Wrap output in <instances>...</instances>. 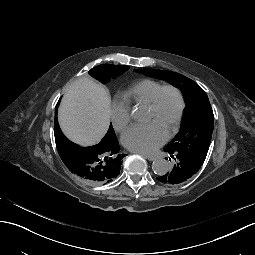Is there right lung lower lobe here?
Segmentation results:
<instances>
[{
  "instance_id": "obj_1",
  "label": "right lung lower lobe",
  "mask_w": 255,
  "mask_h": 255,
  "mask_svg": "<svg viewBox=\"0 0 255 255\" xmlns=\"http://www.w3.org/2000/svg\"><path fill=\"white\" fill-rule=\"evenodd\" d=\"M79 174L82 179L98 176L100 174V155L96 152L90 154L87 150L80 151Z\"/></svg>"
}]
</instances>
